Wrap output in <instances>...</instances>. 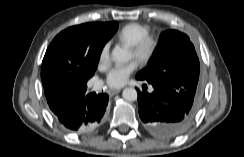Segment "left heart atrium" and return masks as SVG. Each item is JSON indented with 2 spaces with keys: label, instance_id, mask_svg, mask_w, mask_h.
I'll return each mask as SVG.
<instances>
[{
  "label": "left heart atrium",
  "instance_id": "1",
  "mask_svg": "<svg viewBox=\"0 0 244 157\" xmlns=\"http://www.w3.org/2000/svg\"><path fill=\"white\" fill-rule=\"evenodd\" d=\"M137 67L138 63L136 60L114 66L107 74V85L110 88H120L124 86Z\"/></svg>",
  "mask_w": 244,
  "mask_h": 157
}]
</instances>
